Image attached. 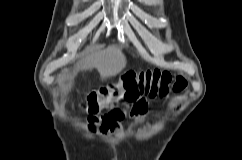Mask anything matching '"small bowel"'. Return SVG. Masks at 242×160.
<instances>
[{"label": "small bowel", "instance_id": "obj_1", "mask_svg": "<svg viewBox=\"0 0 242 160\" xmlns=\"http://www.w3.org/2000/svg\"><path fill=\"white\" fill-rule=\"evenodd\" d=\"M140 104H144V102L139 101L134 105V107L137 106V105H140ZM124 114H125V112L123 110H120V117L117 120H115V121H103L102 124H101L102 130L105 133H111V134L117 132L119 130V121L124 117ZM134 117L139 119L142 116H134Z\"/></svg>", "mask_w": 242, "mask_h": 160}]
</instances>
